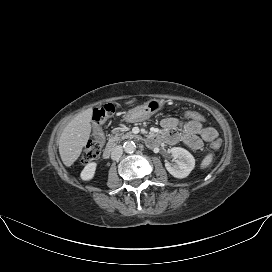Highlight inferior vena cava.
<instances>
[{"mask_svg": "<svg viewBox=\"0 0 272 272\" xmlns=\"http://www.w3.org/2000/svg\"><path fill=\"white\" fill-rule=\"evenodd\" d=\"M122 153H123V147L120 145L115 146L111 153V159L118 160L122 156Z\"/></svg>", "mask_w": 272, "mask_h": 272, "instance_id": "obj_1", "label": "inferior vena cava"}]
</instances>
